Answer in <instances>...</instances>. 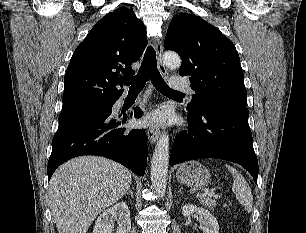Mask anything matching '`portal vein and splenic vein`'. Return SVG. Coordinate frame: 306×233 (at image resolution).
<instances>
[{
	"label": "portal vein and splenic vein",
	"mask_w": 306,
	"mask_h": 233,
	"mask_svg": "<svg viewBox=\"0 0 306 233\" xmlns=\"http://www.w3.org/2000/svg\"><path fill=\"white\" fill-rule=\"evenodd\" d=\"M218 197V198H221V195H216L215 194V191H209V192H205V193H200V194H197L196 197L197 198H203V197Z\"/></svg>",
	"instance_id": "18ae733b"
}]
</instances>
